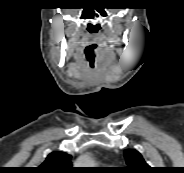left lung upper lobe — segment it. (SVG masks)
<instances>
[{
	"instance_id": "obj_1",
	"label": "left lung upper lobe",
	"mask_w": 184,
	"mask_h": 173,
	"mask_svg": "<svg viewBox=\"0 0 184 173\" xmlns=\"http://www.w3.org/2000/svg\"><path fill=\"white\" fill-rule=\"evenodd\" d=\"M127 167L123 168L126 173H150V166L144 161L141 154L134 150L128 149L124 151Z\"/></svg>"
}]
</instances>
